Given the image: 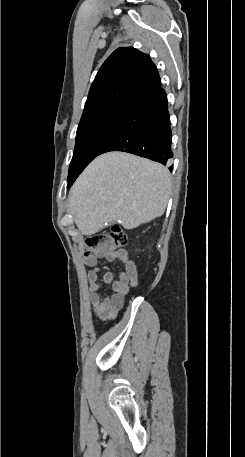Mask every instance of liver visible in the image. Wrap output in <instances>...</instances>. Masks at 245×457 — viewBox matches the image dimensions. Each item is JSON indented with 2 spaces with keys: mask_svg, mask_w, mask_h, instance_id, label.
Wrapping results in <instances>:
<instances>
[{
  "mask_svg": "<svg viewBox=\"0 0 245 457\" xmlns=\"http://www.w3.org/2000/svg\"><path fill=\"white\" fill-rule=\"evenodd\" d=\"M170 176L159 162L129 152H105L75 180L69 210L82 235L98 233L110 220H122L124 229H136L165 212Z\"/></svg>",
  "mask_w": 245,
  "mask_h": 457,
  "instance_id": "liver-1",
  "label": "liver"
}]
</instances>
